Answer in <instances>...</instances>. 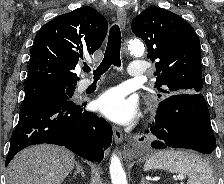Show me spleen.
<instances>
[{
    "instance_id": "3e777b00",
    "label": "spleen",
    "mask_w": 224,
    "mask_h": 184,
    "mask_svg": "<svg viewBox=\"0 0 224 184\" xmlns=\"http://www.w3.org/2000/svg\"><path fill=\"white\" fill-rule=\"evenodd\" d=\"M150 169L185 174L188 176L187 184H215L210 165L192 151H160L146 161L144 171Z\"/></svg>"
}]
</instances>
